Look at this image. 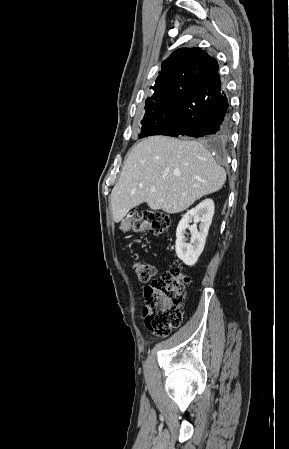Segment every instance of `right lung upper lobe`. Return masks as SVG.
<instances>
[{
  "mask_svg": "<svg viewBox=\"0 0 289 449\" xmlns=\"http://www.w3.org/2000/svg\"><path fill=\"white\" fill-rule=\"evenodd\" d=\"M216 60L206 51L194 47L180 48L162 62L160 76L156 79L153 95L172 92L177 81H197L210 79L218 72Z\"/></svg>",
  "mask_w": 289,
  "mask_h": 449,
  "instance_id": "obj_1",
  "label": "right lung upper lobe"
}]
</instances>
